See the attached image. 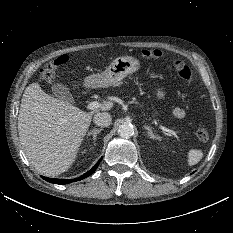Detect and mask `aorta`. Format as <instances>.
<instances>
[{
  "label": "aorta",
  "mask_w": 233,
  "mask_h": 233,
  "mask_svg": "<svg viewBox=\"0 0 233 233\" xmlns=\"http://www.w3.org/2000/svg\"><path fill=\"white\" fill-rule=\"evenodd\" d=\"M118 134L122 138H130L134 135V126L130 123L121 124L118 128Z\"/></svg>",
  "instance_id": "aorta-1"
}]
</instances>
